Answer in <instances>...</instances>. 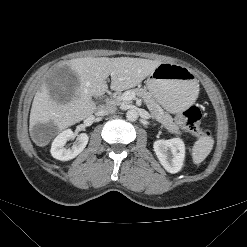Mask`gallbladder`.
Wrapping results in <instances>:
<instances>
[{"label":"gallbladder","instance_id":"gallbladder-1","mask_svg":"<svg viewBox=\"0 0 247 247\" xmlns=\"http://www.w3.org/2000/svg\"><path fill=\"white\" fill-rule=\"evenodd\" d=\"M46 84L51 97L57 102L65 103L74 96L79 79L69 67L61 66L47 77Z\"/></svg>","mask_w":247,"mask_h":247}]
</instances>
